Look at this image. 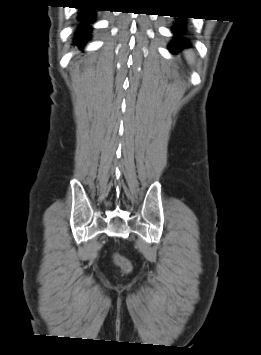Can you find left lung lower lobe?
Returning <instances> with one entry per match:
<instances>
[{
    "label": "left lung lower lobe",
    "mask_w": 261,
    "mask_h": 355,
    "mask_svg": "<svg viewBox=\"0 0 261 355\" xmlns=\"http://www.w3.org/2000/svg\"><path fill=\"white\" fill-rule=\"evenodd\" d=\"M181 18H186V17H181ZM181 18H179L176 24L172 27L175 37L174 40L169 45V49L173 53H176L184 48H187L191 44L190 39L187 37L188 34L186 30L185 21L182 20Z\"/></svg>",
    "instance_id": "left-lung-lower-lobe-1"
}]
</instances>
